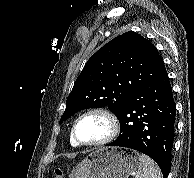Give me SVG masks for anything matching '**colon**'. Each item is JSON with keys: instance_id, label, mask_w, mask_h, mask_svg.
<instances>
[{"instance_id": "1", "label": "colon", "mask_w": 194, "mask_h": 178, "mask_svg": "<svg viewBox=\"0 0 194 178\" xmlns=\"http://www.w3.org/2000/svg\"><path fill=\"white\" fill-rule=\"evenodd\" d=\"M54 178H62V172L60 169H56L54 172Z\"/></svg>"}]
</instances>
